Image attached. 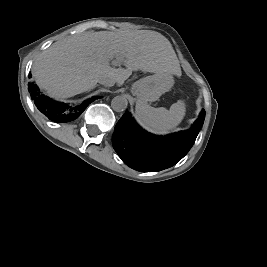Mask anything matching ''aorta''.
<instances>
[{"label":"aorta","instance_id":"1","mask_svg":"<svg viewBox=\"0 0 267 267\" xmlns=\"http://www.w3.org/2000/svg\"><path fill=\"white\" fill-rule=\"evenodd\" d=\"M127 105L128 101L122 95L114 97L111 101V107L116 112L124 111L127 108Z\"/></svg>","mask_w":267,"mask_h":267}]
</instances>
